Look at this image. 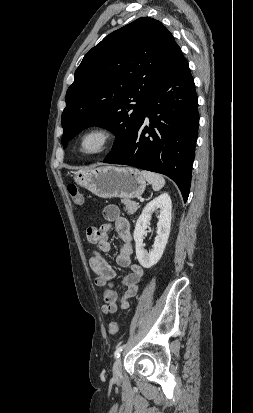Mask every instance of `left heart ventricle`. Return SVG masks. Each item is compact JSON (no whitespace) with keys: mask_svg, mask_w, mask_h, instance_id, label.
<instances>
[{"mask_svg":"<svg viewBox=\"0 0 253 413\" xmlns=\"http://www.w3.org/2000/svg\"><path fill=\"white\" fill-rule=\"evenodd\" d=\"M100 137L97 135H90L87 136L82 142V148L85 151H92L96 149L100 144Z\"/></svg>","mask_w":253,"mask_h":413,"instance_id":"obj_1","label":"left heart ventricle"}]
</instances>
